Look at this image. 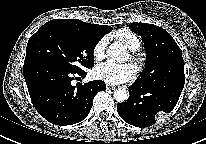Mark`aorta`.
Returning <instances> with one entry per match:
<instances>
[{
    "instance_id": "1",
    "label": "aorta",
    "mask_w": 206,
    "mask_h": 144,
    "mask_svg": "<svg viewBox=\"0 0 206 144\" xmlns=\"http://www.w3.org/2000/svg\"><path fill=\"white\" fill-rule=\"evenodd\" d=\"M107 55L118 62H124L127 59L125 47L118 42L112 43L109 46ZM114 98L117 102L122 103L129 98V93L123 88H118L114 91Z\"/></svg>"
}]
</instances>
